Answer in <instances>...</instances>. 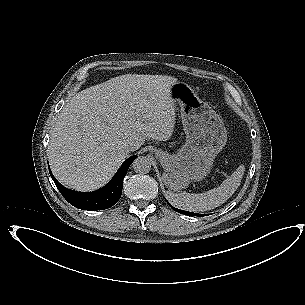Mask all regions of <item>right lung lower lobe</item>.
<instances>
[{
  "instance_id": "98d812e1",
  "label": "right lung lower lobe",
  "mask_w": 305,
  "mask_h": 305,
  "mask_svg": "<svg viewBox=\"0 0 305 305\" xmlns=\"http://www.w3.org/2000/svg\"><path fill=\"white\" fill-rule=\"evenodd\" d=\"M136 155L123 162L111 181L102 189L94 192H77L62 186L50 172V175L63 197L73 206L83 210H104L118 202L122 194L123 179Z\"/></svg>"
}]
</instances>
